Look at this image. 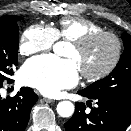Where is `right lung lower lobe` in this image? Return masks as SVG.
Here are the masks:
<instances>
[{
    "label": "right lung lower lobe",
    "instance_id": "right-lung-lower-lobe-1",
    "mask_svg": "<svg viewBox=\"0 0 131 131\" xmlns=\"http://www.w3.org/2000/svg\"><path fill=\"white\" fill-rule=\"evenodd\" d=\"M37 99L38 96L28 87L21 88L14 97L2 99L0 96V131H25Z\"/></svg>",
    "mask_w": 131,
    "mask_h": 131
}]
</instances>
